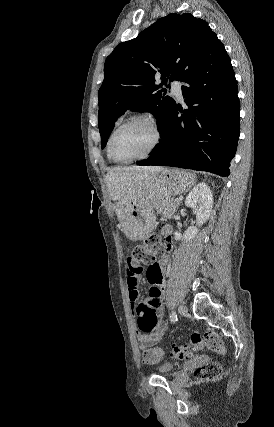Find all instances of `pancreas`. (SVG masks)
Returning <instances> with one entry per match:
<instances>
[{"label": "pancreas", "instance_id": "pancreas-1", "mask_svg": "<svg viewBox=\"0 0 274 427\" xmlns=\"http://www.w3.org/2000/svg\"><path fill=\"white\" fill-rule=\"evenodd\" d=\"M155 206L157 214H161L163 217H173L179 204H176L173 198H170V200H163V198H160Z\"/></svg>", "mask_w": 274, "mask_h": 427}]
</instances>
